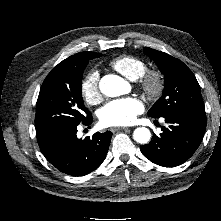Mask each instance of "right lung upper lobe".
Returning <instances> with one entry per match:
<instances>
[{
    "instance_id": "1",
    "label": "right lung upper lobe",
    "mask_w": 221,
    "mask_h": 221,
    "mask_svg": "<svg viewBox=\"0 0 221 221\" xmlns=\"http://www.w3.org/2000/svg\"><path fill=\"white\" fill-rule=\"evenodd\" d=\"M97 53L95 52H81L75 55L70 56L69 58L63 60L58 65H66V66H77L85 61L96 58Z\"/></svg>"
}]
</instances>
